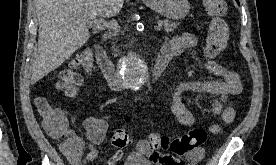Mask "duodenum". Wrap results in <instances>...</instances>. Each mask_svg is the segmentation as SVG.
I'll return each instance as SVG.
<instances>
[{
  "mask_svg": "<svg viewBox=\"0 0 276 165\" xmlns=\"http://www.w3.org/2000/svg\"><path fill=\"white\" fill-rule=\"evenodd\" d=\"M95 56L97 65L109 86L114 90L123 89L125 87L124 81L102 45L97 44L95 46ZM168 63L169 61L166 57L159 55L152 65V76L155 78L159 77L166 69Z\"/></svg>",
  "mask_w": 276,
  "mask_h": 165,
  "instance_id": "410a0bca",
  "label": "duodenum"
}]
</instances>
